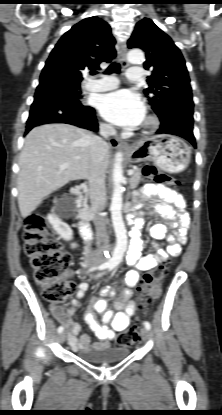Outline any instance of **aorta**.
I'll return each instance as SVG.
<instances>
[{
    "label": "aorta",
    "instance_id": "aorta-1",
    "mask_svg": "<svg viewBox=\"0 0 222 415\" xmlns=\"http://www.w3.org/2000/svg\"><path fill=\"white\" fill-rule=\"evenodd\" d=\"M127 60L131 64H142L144 61V53L140 49H134L128 52ZM122 153L117 152L115 154V162L113 168V193L111 198V219L116 235V247L114 249L113 255L110 259V262L114 265H117L121 262L125 251L127 250V231L122 218V182L123 169H122Z\"/></svg>",
    "mask_w": 222,
    "mask_h": 415
}]
</instances>
